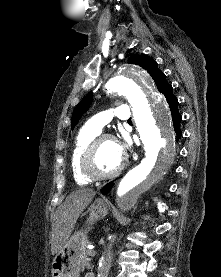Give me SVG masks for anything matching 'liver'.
Segmentation results:
<instances>
[{"mask_svg": "<svg viewBox=\"0 0 221 277\" xmlns=\"http://www.w3.org/2000/svg\"><path fill=\"white\" fill-rule=\"evenodd\" d=\"M96 192L89 188L78 189L68 195L55 212L51 231L52 255L64 246L74 230L77 219L93 200Z\"/></svg>", "mask_w": 221, "mask_h": 277, "instance_id": "6515ba94", "label": "liver"}]
</instances>
